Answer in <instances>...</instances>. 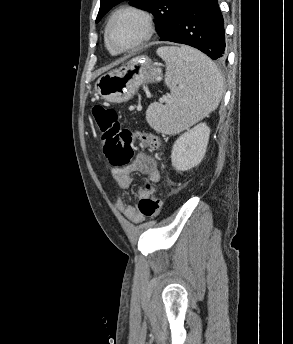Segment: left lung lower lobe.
<instances>
[{"instance_id": "left-lung-lower-lobe-1", "label": "left lung lower lobe", "mask_w": 293, "mask_h": 344, "mask_svg": "<svg viewBox=\"0 0 293 344\" xmlns=\"http://www.w3.org/2000/svg\"><path fill=\"white\" fill-rule=\"evenodd\" d=\"M160 41L186 44L213 60H224V21L217 0H187L175 23Z\"/></svg>"}]
</instances>
